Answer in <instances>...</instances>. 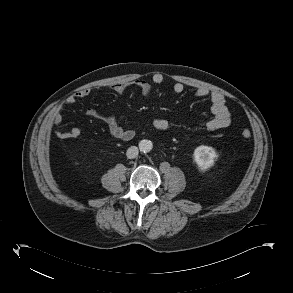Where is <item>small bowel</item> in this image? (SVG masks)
<instances>
[{
    "instance_id": "1",
    "label": "small bowel",
    "mask_w": 293,
    "mask_h": 293,
    "mask_svg": "<svg viewBox=\"0 0 293 293\" xmlns=\"http://www.w3.org/2000/svg\"><path fill=\"white\" fill-rule=\"evenodd\" d=\"M164 82V76L161 73H155L152 75L151 80L148 81L143 78H137L131 83L117 82L109 86V89L122 94L128 86L133 85L140 89L142 94L146 97H150L153 94V87L160 85ZM184 85L180 82H176L173 85V91L177 94L184 92ZM91 90L85 88L77 91L71 95L66 103L68 105L74 104L77 100L89 96ZM195 96L202 99H208L210 102V109L213 117L202 123V126L208 131H215L229 126L231 122V114L226 104L224 96L217 92H210L205 88H199L195 91ZM63 106H58L48 116V123L51 126H58L62 122ZM85 114L88 117L98 119L107 125L108 132L111 136L122 141H129L134 137V131L122 127L117 119L112 115H105L94 108H87ZM155 129L159 131H165L169 128V123L166 119L157 118L153 122ZM56 135L61 139H74L81 135V130L78 127H73L70 131L57 132Z\"/></svg>"
}]
</instances>
